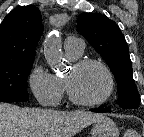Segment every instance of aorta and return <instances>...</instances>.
I'll return each instance as SVG.
<instances>
[{"label":"aorta","mask_w":144,"mask_h":137,"mask_svg":"<svg viewBox=\"0 0 144 137\" xmlns=\"http://www.w3.org/2000/svg\"><path fill=\"white\" fill-rule=\"evenodd\" d=\"M44 56L50 67H60L62 65L61 40L59 36L53 34L44 40Z\"/></svg>","instance_id":"762f6f07"}]
</instances>
